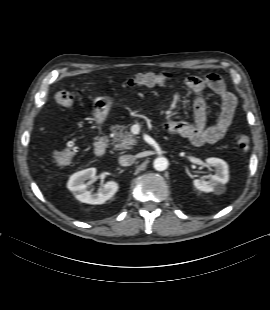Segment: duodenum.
Here are the masks:
<instances>
[{
    "mask_svg": "<svg viewBox=\"0 0 270 310\" xmlns=\"http://www.w3.org/2000/svg\"><path fill=\"white\" fill-rule=\"evenodd\" d=\"M107 149V140L104 136H99L94 145V154L96 157L104 156Z\"/></svg>",
    "mask_w": 270,
    "mask_h": 310,
    "instance_id": "410a0bca",
    "label": "duodenum"
}]
</instances>
